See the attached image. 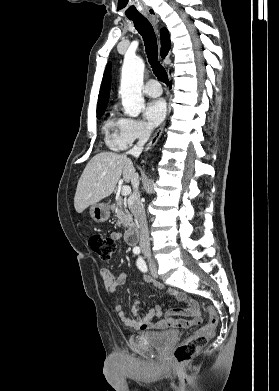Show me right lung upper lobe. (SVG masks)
I'll return each instance as SVG.
<instances>
[{"instance_id": "cb5924a9", "label": "right lung upper lobe", "mask_w": 279, "mask_h": 391, "mask_svg": "<svg viewBox=\"0 0 279 391\" xmlns=\"http://www.w3.org/2000/svg\"><path fill=\"white\" fill-rule=\"evenodd\" d=\"M160 34H161V56L165 57L171 48L170 36L166 28L161 29ZM110 70H111V65L110 63H108L101 84V89L98 97L97 110L105 109L106 104L108 102L110 84H111Z\"/></svg>"}]
</instances>
